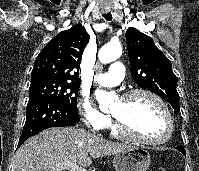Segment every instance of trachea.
Returning a JSON list of instances; mask_svg holds the SVG:
<instances>
[{
  "label": "trachea",
  "instance_id": "1",
  "mask_svg": "<svg viewBox=\"0 0 199 171\" xmlns=\"http://www.w3.org/2000/svg\"><path fill=\"white\" fill-rule=\"evenodd\" d=\"M103 17H104L107 21L112 20V15H111V13H110V12H108V13L104 14V15H103Z\"/></svg>",
  "mask_w": 199,
  "mask_h": 171
}]
</instances>
